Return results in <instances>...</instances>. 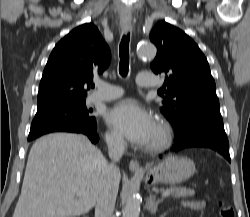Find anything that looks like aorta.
Segmentation results:
<instances>
[{
  "instance_id": "obj_1",
  "label": "aorta",
  "mask_w": 250,
  "mask_h": 217,
  "mask_svg": "<svg viewBox=\"0 0 250 217\" xmlns=\"http://www.w3.org/2000/svg\"><path fill=\"white\" fill-rule=\"evenodd\" d=\"M137 54L140 58H154L156 55V47L151 43H143L137 49ZM140 200L136 193H132L123 210V217H139L140 215Z\"/></svg>"
}]
</instances>
